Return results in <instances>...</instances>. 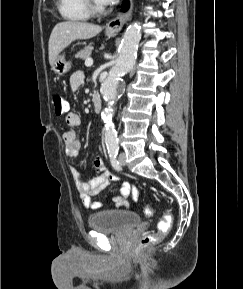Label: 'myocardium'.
<instances>
[{"mask_svg": "<svg viewBox=\"0 0 243 289\" xmlns=\"http://www.w3.org/2000/svg\"><path fill=\"white\" fill-rule=\"evenodd\" d=\"M85 6L89 14L91 15H101L106 9L103 5L97 4L95 0H84Z\"/></svg>", "mask_w": 243, "mask_h": 289, "instance_id": "myocardium-1", "label": "myocardium"}]
</instances>
